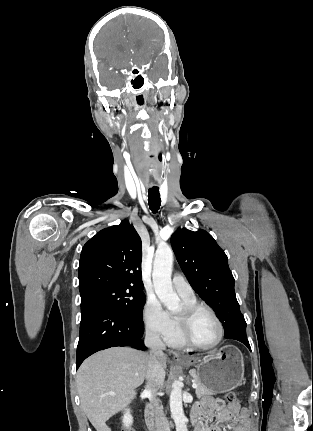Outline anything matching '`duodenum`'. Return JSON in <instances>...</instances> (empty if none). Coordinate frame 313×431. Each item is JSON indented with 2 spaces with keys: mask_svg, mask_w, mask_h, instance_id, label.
<instances>
[{
  "mask_svg": "<svg viewBox=\"0 0 313 431\" xmlns=\"http://www.w3.org/2000/svg\"><path fill=\"white\" fill-rule=\"evenodd\" d=\"M192 421L196 424L197 417L192 414ZM146 422L150 429L155 428V407L152 403H149L146 408Z\"/></svg>",
  "mask_w": 313,
  "mask_h": 431,
  "instance_id": "obj_1",
  "label": "duodenum"
}]
</instances>
